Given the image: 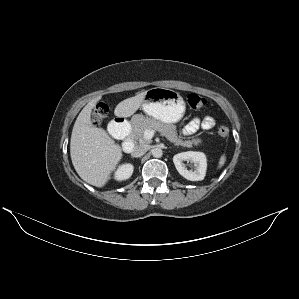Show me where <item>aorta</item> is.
<instances>
[{
    "label": "aorta",
    "instance_id": "obj_1",
    "mask_svg": "<svg viewBox=\"0 0 299 299\" xmlns=\"http://www.w3.org/2000/svg\"><path fill=\"white\" fill-rule=\"evenodd\" d=\"M152 155L155 158H160L163 155V152H162V150L160 148H154L152 150Z\"/></svg>",
    "mask_w": 299,
    "mask_h": 299
}]
</instances>
